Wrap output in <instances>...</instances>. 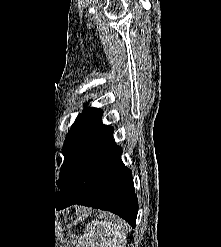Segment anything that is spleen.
Instances as JSON below:
<instances>
[{"instance_id":"3e777b00","label":"spleen","mask_w":221,"mask_h":247,"mask_svg":"<svg viewBox=\"0 0 221 247\" xmlns=\"http://www.w3.org/2000/svg\"><path fill=\"white\" fill-rule=\"evenodd\" d=\"M81 247H125L126 233L120 221H92L87 225Z\"/></svg>"}]
</instances>
